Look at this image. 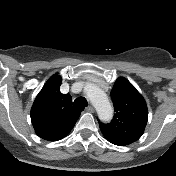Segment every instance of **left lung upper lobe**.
<instances>
[{"mask_svg":"<svg viewBox=\"0 0 176 176\" xmlns=\"http://www.w3.org/2000/svg\"><path fill=\"white\" fill-rule=\"evenodd\" d=\"M115 115L111 123L99 122V127L108 141L125 146L138 140L148 120L146 102L135 87L125 78L116 80L111 91Z\"/></svg>","mask_w":176,"mask_h":176,"instance_id":"left-lung-upper-lobe-1","label":"left lung upper lobe"}]
</instances>
